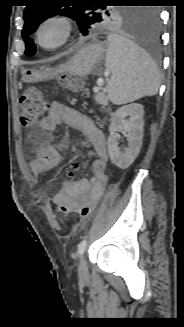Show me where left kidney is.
Returning a JSON list of instances; mask_svg holds the SVG:
<instances>
[{"mask_svg": "<svg viewBox=\"0 0 184 327\" xmlns=\"http://www.w3.org/2000/svg\"><path fill=\"white\" fill-rule=\"evenodd\" d=\"M144 109L141 104L133 103L117 109L111 118L108 137L110 159L120 169L128 168L136 159L142 146ZM130 116L129 119H125ZM117 131L128 133V147L124 153L118 147Z\"/></svg>", "mask_w": 184, "mask_h": 327, "instance_id": "5707ae66", "label": "left kidney"}]
</instances>
